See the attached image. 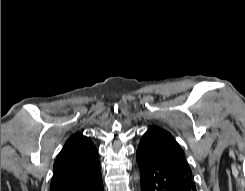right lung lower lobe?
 I'll return each mask as SVG.
<instances>
[{
    "label": "right lung lower lobe",
    "mask_w": 245,
    "mask_h": 191,
    "mask_svg": "<svg viewBox=\"0 0 245 191\" xmlns=\"http://www.w3.org/2000/svg\"><path fill=\"white\" fill-rule=\"evenodd\" d=\"M59 191H104L101 169H97L85 178L67 184Z\"/></svg>",
    "instance_id": "obj_1"
}]
</instances>
